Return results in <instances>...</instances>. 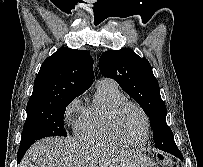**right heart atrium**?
<instances>
[{
  "label": "right heart atrium",
  "instance_id": "right-heart-atrium-1",
  "mask_svg": "<svg viewBox=\"0 0 203 167\" xmlns=\"http://www.w3.org/2000/svg\"><path fill=\"white\" fill-rule=\"evenodd\" d=\"M81 109V101L79 98L73 99L65 108V120L69 123H73L74 118Z\"/></svg>",
  "mask_w": 203,
  "mask_h": 167
}]
</instances>
